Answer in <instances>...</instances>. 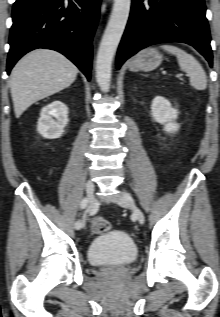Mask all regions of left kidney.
Wrapping results in <instances>:
<instances>
[{
	"label": "left kidney",
	"mask_w": 220,
	"mask_h": 317,
	"mask_svg": "<svg viewBox=\"0 0 220 317\" xmlns=\"http://www.w3.org/2000/svg\"><path fill=\"white\" fill-rule=\"evenodd\" d=\"M151 114L156 122L163 124L167 132H176L177 124L173 121L177 118V111L171 107L170 102L162 96H156L151 105Z\"/></svg>",
	"instance_id": "5707ae66"
}]
</instances>
